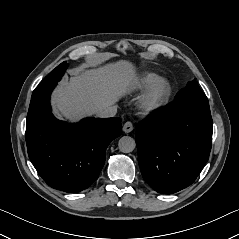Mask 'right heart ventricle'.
<instances>
[{"label":"right heart ventricle","instance_id":"obj_1","mask_svg":"<svg viewBox=\"0 0 239 239\" xmlns=\"http://www.w3.org/2000/svg\"><path fill=\"white\" fill-rule=\"evenodd\" d=\"M157 78H158L157 74L147 72L135 82L134 86L138 90L145 89L149 87Z\"/></svg>","mask_w":239,"mask_h":239}]
</instances>
